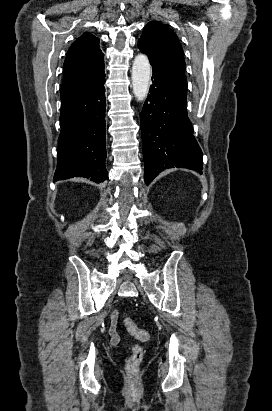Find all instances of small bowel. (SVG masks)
Returning a JSON list of instances; mask_svg holds the SVG:
<instances>
[{
    "label": "small bowel",
    "mask_w": 272,
    "mask_h": 411,
    "mask_svg": "<svg viewBox=\"0 0 272 411\" xmlns=\"http://www.w3.org/2000/svg\"><path fill=\"white\" fill-rule=\"evenodd\" d=\"M118 319H119V313L117 310H115L111 314L110 327H109L110 343L113 346H117L120 344V336L117 331Z\"/></svg>",
    "instance_id": "1"
}]
</instances>
